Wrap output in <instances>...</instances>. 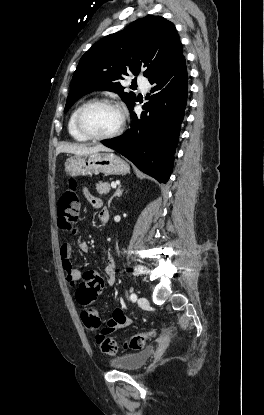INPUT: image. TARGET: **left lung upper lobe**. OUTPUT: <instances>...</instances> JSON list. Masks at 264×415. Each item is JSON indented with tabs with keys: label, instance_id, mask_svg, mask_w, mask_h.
<instances>
[{
	"label": "left lung upper lobe",
	"instance_id": "1",
	"mask_svg": "<svg viewBox=\"0 0 264 415\" xmlns=\"http://www.w3.org/2000/svg\"><path fill=\"white\" fill-rule=\"evenodd\" d=\"M181 56L182 44L173 23L161 16L138 19L95 43L83 55L73 74L64 112L80 97L95 90L119 93L129 108L136 96L123 92L119 80L128 71L137 75L141 70L150 79Z\"/></svg>",
	"mask_w": 264,
	"mask_h": 415
}]
</instances>
